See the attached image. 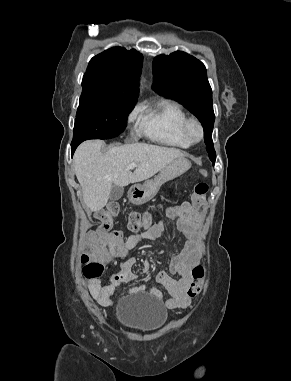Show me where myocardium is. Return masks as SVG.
Listing matches in <instances>:
<instances>
[{
    "label": "myocardium",
    "instance_id": "myocardium-1",
    "mask_svg": "<svg viewBox=\"0 0 291 381\" xmlns=\"http://www.w3.org/2000/svg\"><path fill=\"white\" fill-rule=\"evenodd\" d=\"M185 134L192 143L200 142L204 137V127L197 118H188L184 125Z\"/></svg>",
    "mask_w": 291,
    "mask_h": 381
}]
</instances>
